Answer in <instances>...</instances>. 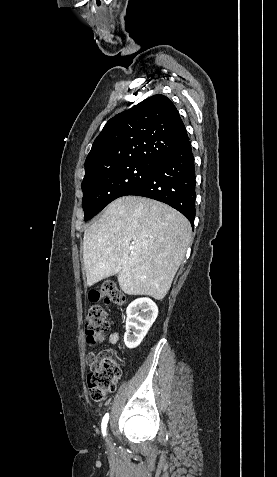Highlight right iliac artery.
<instances>
[{"mask_svg":"<svg viewBox=\"0 0 277 477\" xmlns=\"http://www.w3.org/2000/svg\"><path fill=\"white\" fill-rule=\"evenodd\" d=\"M108 419H109V414L106 413L102 420V432L104 436L106 435V427H107Z\"/></svg>","mask_w":277,"mask_h":477,"instance_id":"82829eb1","label":"right iliac artery"}]
</instances>
